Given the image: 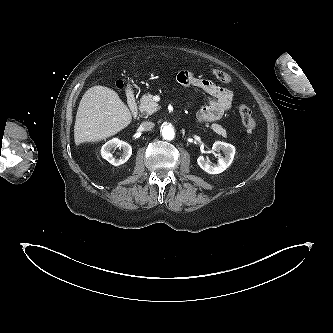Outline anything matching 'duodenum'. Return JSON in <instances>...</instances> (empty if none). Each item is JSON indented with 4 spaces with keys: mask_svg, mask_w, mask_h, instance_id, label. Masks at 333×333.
<instances>
[{
    "mask_svg": "<svg viewBox=\"0 0 333 333\" xmlns=\"http://www.w3.org/2000/svg\"><path fill=\"white\" fill-rule=\"evenodd\" d=\"M127 99L130 108V112L133 117H136L138 114V105L135 92L131 86L127 88Z\"/></svg>",
    "mask_w": 333,
    "mask_h": 333,
    "instance_id": "duodenum-1",
    "label": "duodenum"
}]
</instances>
